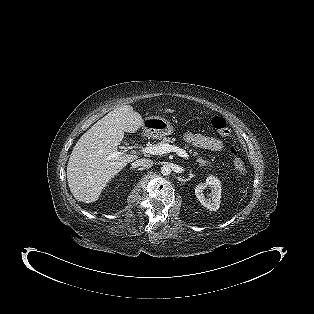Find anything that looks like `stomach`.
Here are the masks:
<instances>
[{
	"label": "stomach",
	"instance_id": "stomach-1",
	"mask_svg": "<svg viewBox=\"0 0 314 314\" xmlns=\"http://www.w3.org/2000/svg\"><path fill=\"white\" fill-rule=\"evenodd\" d=\"M142 128L148 135L157 139L174 133L173 126L166 119L159 116L147 117L143 120Z\"/></svg>",
	"mask_w": 314,
	"mask_h": 314
}]
</instances>
